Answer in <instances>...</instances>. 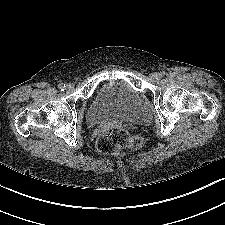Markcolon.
Returning a JSON list of instances; mask_svg holds the SVG:
<instances>
[{
	"label": "colon",
	"instance_id": "obj_1",
	"mask_svg": "<svg viewBox=\"0 0 225 225\" xmlns=\"http://www.w3.org/2000/svg\"><path fill=\"white\" fill-rule=\"evenodd\" d=\"M143 145L140 135H131L123 128H112L102 133L97 141V149L104 154H114L124 149H136Z\"/></svg>",
	"mask_w": 225,
	"mask_h": 225
}]
</instances>
